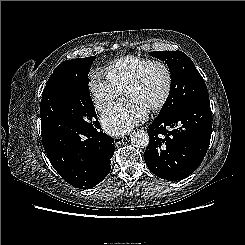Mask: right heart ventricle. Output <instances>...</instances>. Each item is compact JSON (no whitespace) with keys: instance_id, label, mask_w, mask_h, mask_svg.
I'll return each instance as SVG.
<instances>
[{"instance_id":"e07e8e85","label":"right heart ventricle","mask_w":245,"mask_h":245,"mask_svg":"<svg viewBox=\"0 0 245 245\" xmlns=\"http://www.w3.org/2000/svg\"><path fill=\"white\" fill-rule=\"evenodd\" d=\"M149 59L142 56L127 55L110 62L105 67L107 78L120 90L135 72Z\"/></svg>"}]
</instances>
